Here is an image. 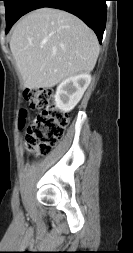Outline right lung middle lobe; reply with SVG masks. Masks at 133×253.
<instances>
[{
	"label": "right lung middle lobe",
	"instance_id": "1",
	"mask_svg": "<svg viewBox=\"0 0 133 253\" xmlns=\"http://www.w3.org/2000/svg\"><path fill=\"white\" fill-rule=\"evenodd\" d=\"M6 8V33L18 20L19 10L24 0H2Z\"/></svg>",
	"mask_w": 133,
	"mask_h": 253
}]
</instances>
